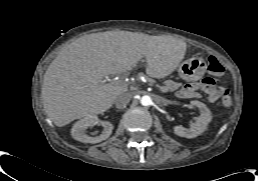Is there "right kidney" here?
<instances>
[{
	"label": "right kidney",
	"instance_id": "obj_1",
	"mask_svg": "<svg viewBox=\"0 0 258 181\" xmlns=\"http://www.w3.org/2000/svg\"><path fill=\"white\" fill-rule=\"evenodd\" d=\"M101 125L103 126V131L101 134L93 136L87 135L85 130L89 127ZM113 125L109 121H102L96 115H89L83 119L77 121L71 130L72 137L83 143H99L106 140L112 133Z\"/></svg>",
	"mask_w": 258,
	"mask_h": 181
}]
</instances>
